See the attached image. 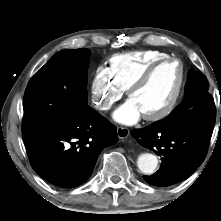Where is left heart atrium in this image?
Listing matches in <instances>:
<instances>
[{"label":"left heart atrium","mask_w":221,"mask_h":221,"mask_svg":"<svg viewBox=\"0 0 221 221\" xmlns=\"http://www.w3.org/2000/svg\"><path fill=\"white\" fill-rule=\"evenodd\" d=\"M142 113L133 99H128L115 112L114 119L122 124L131 125L136 123Z\"/></svg>","instance_id":"left-heart-atrium-1"}]
</instances>
